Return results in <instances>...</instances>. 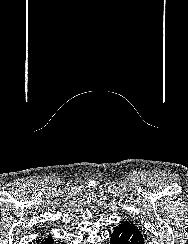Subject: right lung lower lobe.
<instances>
[{
    "instance_id": "1",
    "label": "right lung lower lobe",
    "mask_w": 188,
    "mask_h": 244,
    "mask_svg": "<svg viewBox=\"0 0 188 244\" xmlns=\"http://www.w3.org/2000/svg\"><path fill=\"white\" fill-rule=\"evenodd\" d=\"M42 239H38L36 240V242H40ZM41 244H54V241L52 240V238H45L42 240Z\"/></svg>"
}]
</instances>
